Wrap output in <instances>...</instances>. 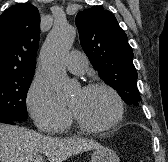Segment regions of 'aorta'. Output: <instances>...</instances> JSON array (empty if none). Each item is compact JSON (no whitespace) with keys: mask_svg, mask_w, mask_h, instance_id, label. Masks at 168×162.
<instances>
[{"mask_svg":"<svg viewBox=\"0 0 168 162\" xmlns=\"http://www.w3.org/2000/svg\"><path fill=\"white\" fill-rule=\"evenodd\" d=\"M76 37V28L65 21L56 22L40 50V63L57 96L70 99L75 85L66 74L63 60Z\"/></svg>","mask_w":168,"mask_h":162,"instance_id":"1","label":"aorta"}]
</instances>
